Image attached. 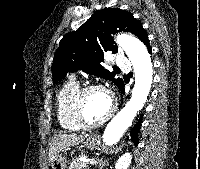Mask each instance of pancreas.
Masks as SVG:
<instances>
[{
	"mask_svg": "<svg viewBox=\"0 0 200 169\" xmlns=\"http://www.w3.org/2000/svg\"><path fill=\"white\" fill-rule=\"evenodd\" d=\"M69 169H89V167H88L87 163H85L79 159H75L70 164Z\"/></svg>",
	"mask_w": 200,
	"mask_h": 169,
	"instance_id": "pancreas-1",
	"label": "pancreas"
}]
</instances>
